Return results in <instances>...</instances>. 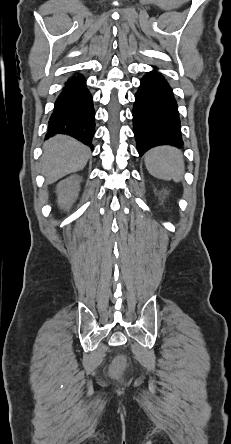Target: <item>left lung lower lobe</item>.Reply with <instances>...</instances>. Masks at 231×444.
<instances>
[{"mask_svg":"<svg viewBox=\"0 0 231 444\" xmlns=\"http://www.w3.org/2000/svg\"><path fill=\"white\" fill-rule=\"evenodd\" d=\"M133 130L139 155L158 145H183L177 102L171 87L157 71L140 81L133 107Z\"/></svg>","mask_w":231,"mask_h":444,"instance_id":"left-lung-lower-lobe-1","label":"left lung lower lobe"}]
</instances>
